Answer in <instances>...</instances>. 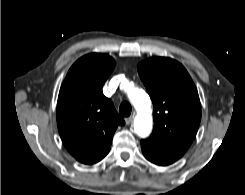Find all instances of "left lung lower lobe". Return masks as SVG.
I'll return each instance as SVG.
<instances>
[{
	"label": "left lung lower lobe",
	"instance_id": "left-lung-lower-lobe-1",
	"mask_svg": "<svg viewBox=\"0 0 245 195\" xmlns=\"http://www.w3.org/2000/svg\"><path fill=\"white\" fill-rule=\"evenodd\" d=\"M141 147L145 158L160 166H167L174 163L187 151L186 148L163 143L151 136L145 140H141Z\"/></svg>",
	"mask_w": 245,
	"mask_h": 195
}]
</instances>
